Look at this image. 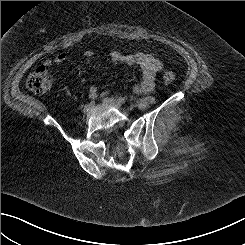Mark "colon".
Instances as JSON below:
<instances>
[{
    "mask_svg": "<svg viewBox=\"0 0 245 245\" xmlns=\"http://www.w3.org/2000/svg\"><path fill=\"white\" fill-rule=\"evenodd\" d=\"M162 82L165 85H171L176 80V74L170 69H166L162 73ZM27 87L34 93L42 95L46 93L49 87V76L45 66H40L32 72L26 80Z\"/></svg>",
    "mask_w": 245,
    "mask_h": 245,
    "instance_id": "obj_1",
    "label": "colon"
}]
</instances>
